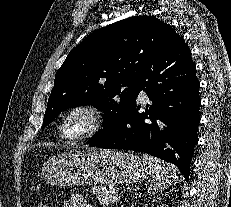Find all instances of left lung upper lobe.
Masks as SVG:
<instances>
[{
	"label": "left lung upper lobe",
	"mask_w": 231,
	"mask_h": 207,
	"mask_svg": "<svg viewBox=\"0 0 231 207\" xmlns=\"http://www.w3.org/2000/svg\"><path fill=\"white\" fill-rule=\"evenodd\" d=\"M179 37L170 25L147 15L96 30L70 51L57 71L42 128L65 109L92 105L104 112V128L91 140L115 132L136 101L145 67Z\"/></svg>",
	"instance_id": "left-lung-upper-lobe-1"
}]
</instances>
